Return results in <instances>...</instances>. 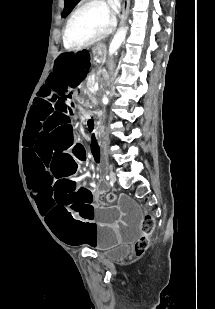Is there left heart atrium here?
Segmentation results:
<instances>
[{"mask_svg":"<svg viewBox=\"0 0 215 309\" xmlns=\"http://www.w3.org/2000/svg\"><path fill=\"white\" fill-rule=\"evenodd\" d=\"M109 6L110 7H115L116 6V0H109ZM114 8L113 9H109V14L110 16L114 15Z\"/></svg>","mask_w":215,"mask_h":309,"instance_id":"1","label":"left heart atrium"}]
</instances>
